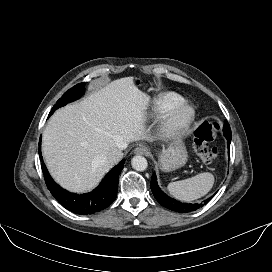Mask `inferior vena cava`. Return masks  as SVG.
I'll list each match as a JSON object with an SVG mask.
<instances>
[{
    "label": "inferior vena cava",
    "mask_w": 272,
    "mask_h": 272,
    "mask_svg": "<svg viewBox=\"0 0 272 272\" xmlns=\"http://www.w3.org/2000/svg\"><path fill=\"white\" fill-rule=\"evenodd\" d=\"M122 156H123V153L121 148H112L104 153L103 161L114 165L121 160Z\"/></svg>",
    "instance_id": "1"
}]
</instances>
